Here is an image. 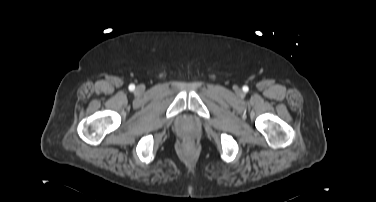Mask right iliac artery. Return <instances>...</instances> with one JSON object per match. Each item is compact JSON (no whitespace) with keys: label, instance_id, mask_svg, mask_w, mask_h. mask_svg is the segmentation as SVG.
<instances>
[{"label":"right iliac artery","instance_id":"obj_1","mask_svg":"<svg viewBox=\"0 0 376 202\" xmlns=\"http://www.w3.org/2000/svg\"><path fill=\"white\" fill-rule=\"evenodd\" d=\"M129 89H130V90H134V89H135V86H134L133 84H131V85L129 86Z\"/></svg>","mask_w":376,"mask_h":202}]
</instances>
